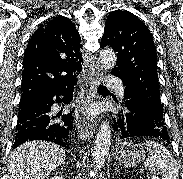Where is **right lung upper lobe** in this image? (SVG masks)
Here are the masks:
<instances>
[{
  "instance_id": "right-lung-upper-lobe-1",
  "label": "right lung upper lobe",
  "mask_w": 183,
  "mask_h": 179,
  "mask_svg": "<svg viewBox=\"0 0 183 179\" xmlns=\"http://www.w3.org/2000/svg\"><path fill=\"white\" fill-rule=\"evenodd\" d=\"M81 38L70 19L53 17L32 35L23 59L22 97L39 87H67L81 72Z\"/></svg>"
}]
</instances>
